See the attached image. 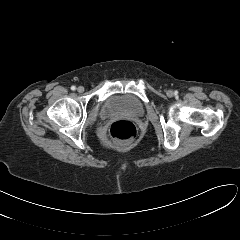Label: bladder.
Wrapping results in <instances>:
<instances>
[{
    "label": "bladder",
    "instance_id": "bladder-1",
    "mask_svg": "<svg viewBox=\"0 0 240 240\" xmlns=\"http://www.w3.org/2000/svg\"><path fill=\"white\" fill-rule=\"evenodd\" d=\"M144 114L143 102L133 95L110 96L104 101L100 111V116L105 119L121 115L141 117Z\"/></svg>",
    "mask_w": 240,
    "mask_h": 240
}]
</instances>
